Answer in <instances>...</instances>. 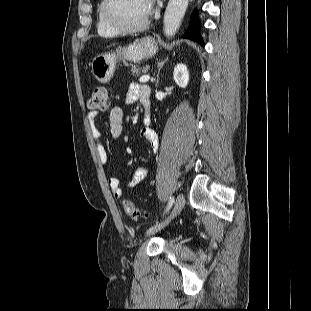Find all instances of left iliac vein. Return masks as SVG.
<instances>
[{
	"mask_svg": "<svg viewBox=\"0 0 311 311\" xmlns=\"http://www.w3.org/2000/svg\"><path fill=\"white\" fill-rule=\"evenodd\" d=\"M184 204H185L184 195L182 193H180L176 198L174 207H173L171 213L169 214V216L165 220H163L162 222L157 223L156 225L149 228L146 232V236H150V235L156 233L157 231L163 229L166 225H168L169 222L182 211Z\"/></svg>",
	"mask_w": 311,
	"mask_h": 311,
	"instance_id": "4c4485c4",
	"label": "left iliac vein"
}]
</instances>
